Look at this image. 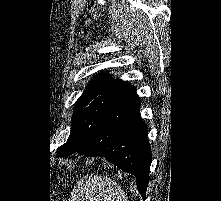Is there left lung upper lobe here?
I'll return each mask as SVG.
<instances>
[{
	"mask_svg": "<svg viewBox=\"0 0 221 201\" xmlns=\"http://www.w3.org/2000/svg\"><path fill=\"white\" fill-rule=\"evenodd\" d=\"M110 75L98 74L74 105L72 127L65 144L57 154L69 156L77 152L98 128L107 113L130 97L135 88L122 80H109Z\"/></svg>",
	"mask_w": 221,
	"mask_h": 201,
	"instance_id": "obj_1",
	"label": "left lung upper lobe"
}]
</instances>
